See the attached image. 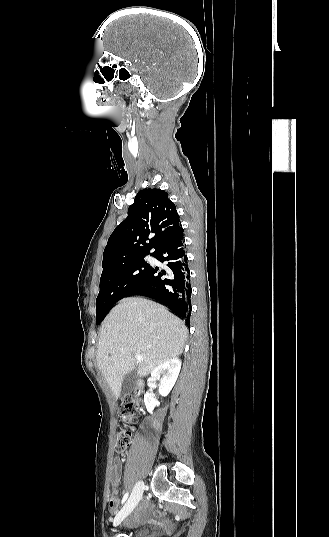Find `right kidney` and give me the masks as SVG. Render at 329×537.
Returning a JSON list of instances; mask_svg holds the SVG:
<instances>
[{
  "mask_svg": "<svg viewBox=\"0 0 329 537\" xmlns=\"http://www.w3.org/2000/svg\"><path fill=\"white\" fill-rule=\"evenodd\" d=\"M181 369V361L178 358L169 359L158 365L151 372L152 380H159V393L161 396H167L173 388ZM144 403L147 411L153 414L156 406H159V401L154 394L146 392L144 395Z\"/></svg>",
  "mask_w": 329,
  "mask_h": 537,
  "instance_id": "1",
  "label": "right kidney"
}]
</instances>
